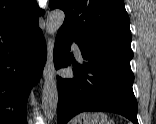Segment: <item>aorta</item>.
Instances as JSON below:
<instances>
[{
	"label": "aorta",
	"mask_w": 156,
	"mask_h": 124,
	"mask_svg": "<svg viewBox=\"0 0 156 124\" xmlns=\"http://www.w3.org/2000/svg\"><path fill=\"white\" fill-rule=\"evenodd\" d=\"M65 14L62 10H53L48 13L46 19V31L54 35L62 26ZM58 90L53 71L46 76L42 91V109L46 119L53 120L57 113Z\"/></svg>",
	"instance_id": "1"
}]
</instances>
